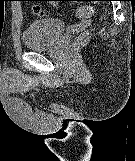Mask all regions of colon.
I'll use <instances>...</instances> for the list:
<instances>
[{"label": "colon", "mask_w": 135, "mask_h": 161, "mask_svg": "<svg viewBox=\"0 0 135 161\" xmlns=\"http://www.w3.org/2000/svg\"><path fill=\"white\" fill-rule=\"evenodd\" d=\"M32 11L37 16H46L47 13L38 6H33ZM93 14V7L91 5H82L78 10V15L82 17H89Z\"/></svg>", "instance_id": "colon-1"}]
</instances>
